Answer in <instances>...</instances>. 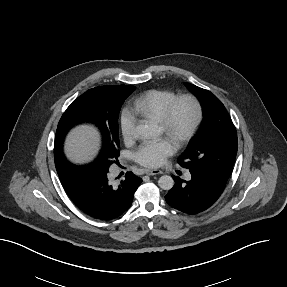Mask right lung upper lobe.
Masks as SVG:
<instances>
[{
	"mask_svg": "<svg viewBox=\"0 0 287 287\" xmlns=\"http://www.w3.org/2000/svg\"><path fill=\"white\" fill-rule=\"evenodd\" d=\"M54 157H55V165H62L63 163H68L63 156L62 147H60L59 137L55 140Z\"/></svg>",
	"mask_w": 287,
	"mask_h": 287,
	"instance_id": "obj_1",
	"label": "right lung upper lobe"
}]
</instances>
